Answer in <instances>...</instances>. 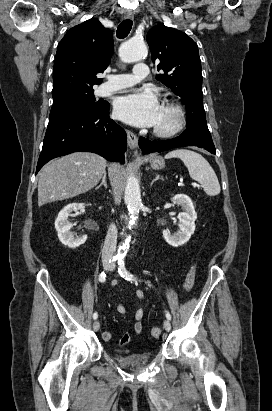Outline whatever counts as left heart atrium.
<instances>
[{"label":"left heart atrium","mask_w":272,"mask_h":411,"mask_svg":"<svg viewBox=\"0 0 272 411\" xmlns=\"http://www.w3.org/2000/svg\"><path fill=\"white\" fill-rule=\"evenodd\" d=\"M116 117L137 127L157 125L162 109L157 97L149 91H135L119 97L114 105Z\"/></svg>","instance_id":"39dd6f15"}]
</instances>
